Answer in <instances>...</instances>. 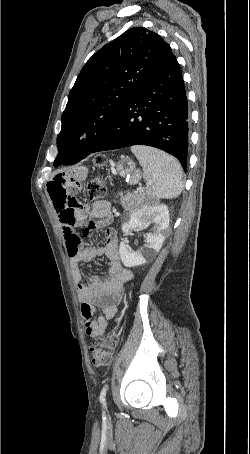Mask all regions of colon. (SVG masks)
Segmentation results:
<instances>
[{
  "label": "colon",
  "mask_w": 250,
  "mask_h": 454,
  "mask_svg": "<svg viewBox=\"0 0 250 454\" xmlns=\"http://www.w3.org/2000/svg\"><path fill=\"white\" fill-rule=\"evenodd\" d=\"M105 157L100 155L96 157L98 164H103ZM106 184L100 177L93 178L87 185V195L90 200H99L106 194ZM119 341V334L114 331L108 335L94 340L90 345L92 362L96 367H102L110 364L115 348Z\"/></svg>",
  "instance_id": "5ec220e1"
}]
</instances>
